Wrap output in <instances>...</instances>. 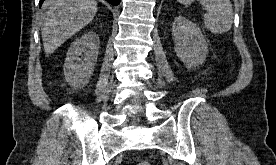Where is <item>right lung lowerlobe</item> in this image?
I'll return each mask as SVG.
<instances>
[{
  "instance_id": "1",
  "label": "right lung lower lobe",
  "mask_w": 276,
  "mask_h": 165,
  "mask_svg": "<svg viewBox=\"0 0 276 165\" xmlns=\"http://www.w3.org/2000/svg\"><path fill=\"white\" fill-rule=\"evenodd\" d=\"M43 1L44 0H40V6L43 3ZM106 1H108L109 3H111L112 5H115V6L120 4V0H106Z\"/></svg>"
}]
</instances>
